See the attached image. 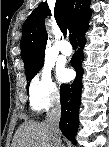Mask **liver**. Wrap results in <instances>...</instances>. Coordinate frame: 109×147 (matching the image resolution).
Wrapping results in <instances>:
<instances>
[{"label": "liver", "mask_w": 109, "mask_h": 147, "mask_svg": "<svg viewBox=\"0 0 109 147\" xmlns=\"http://www.w3.org/2000/svg\"><path fill=\"white\" fill-rule=\"evenodd\" d=\"M61 140V133L59 134ZM53 147L46 122L25 121L16 130L12 147Z\"/></svg>", "instance_id": "6515ba94"}]
</instances>
